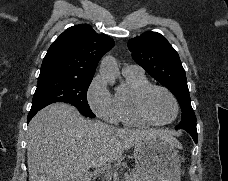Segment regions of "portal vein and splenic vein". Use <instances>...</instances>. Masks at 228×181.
<instances>
[{"label":"portal vein and splenic vein","instance_id":"obj_1","mask_svg":"<svg viewBox=\"0 0 228 181\" xmlns=\"http://www.w3.org/2000/svg\"><path fill=\"white\" fill-rule=\"evenodd\" d=\"M106 173H108V175H110L109 171H107V169H105Z\"/></svg>","mask_w":228,"mask_h":181}]
</instances>
